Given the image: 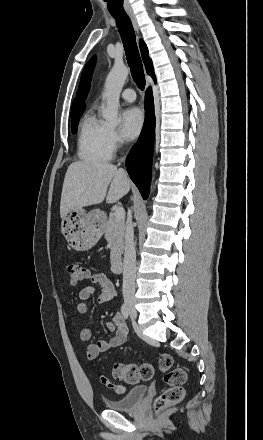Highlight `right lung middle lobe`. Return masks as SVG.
<instances>
[{
  "label": "right lung middle lobe",
  "mask_w": 263,
  "mask_h": 440,
  "mask_svg": "<svg viewBox=\"0 0 263 440\" xmlns=\"http://www.w3.org/2000/svg\"><path fill=\"white\" fill-rule=\"evenodd\" d=\"M80 116H81V114L71 118L72 119V121H71L72 133L77 132L78 120H79Z\"/></svg>",
  "instance_id": "obj_1"
}]
</instances>
